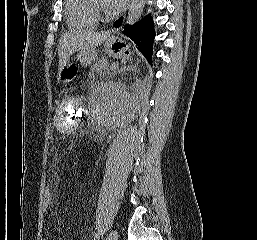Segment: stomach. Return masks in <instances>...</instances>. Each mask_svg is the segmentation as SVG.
I'll list each match as a JSON object with an SVG mask.
<instances>
[{
  "label": "stomach",
  "mask_w": 257,
  "mask_h": 240,
  "mask_svg": "<svg viewBox=\"0 0 257 240\" xmlns=\"http://www.w3.org/2000/svg\"><path fill=\"white\" fill-rule=\"evenodd\" d=\"M105 47L107 53L116 58L124 57L129 49V45L126 42L113 35L107 37ZM77 59L83 66H89L96 59V52L94 49L80 50Z\"/></svg>",
  "instance_id": "stomach-1"
}]
</instances>
